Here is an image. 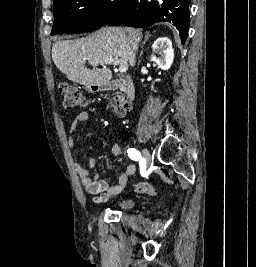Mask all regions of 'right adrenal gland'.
<instances>
[{"mask_svg":"<svg viewBox=\"0 0 256 267\" xmlns=\"http://www.w3.org/2000/svg\"><path fill=\"white\" fill-rule=\"evenodd\" d=\"M145 42H146V40H144V42H142V52H141V54H143V46H144Z\"/></svg>","mask_w":256,"mask_h":267,"instance_id":"right-adrenal-gland-1","label":"right adrenal gland"}]
</instances>
